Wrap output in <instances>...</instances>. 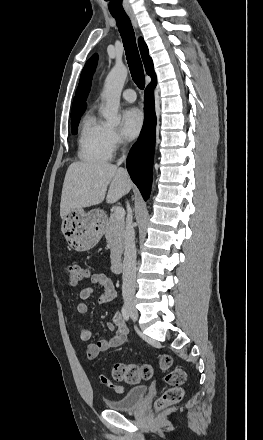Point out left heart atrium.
I'll return each mask as SVG.
<instances>
[{"label": "left heart atrium", "instance_id": "obj_1", "mask_svg": "<svg viewBox=\"0 0 263 440\" xmlns=\"http://www.w3.org/2000/svg\"><path fill=\"white\" fill-rule=\"evenodd\" d=\"M144 123L143 113L136 107L126 109L122 114V133L127 139H134Z\"/></svg>", "mask_w": 263, "mask_h": 440}]
</instances>
